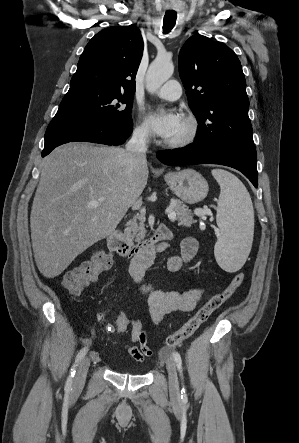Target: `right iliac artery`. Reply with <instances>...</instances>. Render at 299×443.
<instances>
[{"label":"right iliac artery","mask_w":299,"mask_h":443,"mask_svg":"<svg viewBox=\"0 0 299 443\" xmlns=\"http://www.w3.org/2000/svg\"><path fill=\"white\" fill-rule=\"evenodd\" d=\"M87 352H88V347H84L78 352L75 362L71 368L70 375H69L67 382H66V389L67 390L71 389L72 383H73V378H74V375L76 372V368H77L78 364L81 362V360L85 357Z\"/></svg>","instance_id":"1"}]
</instances>
